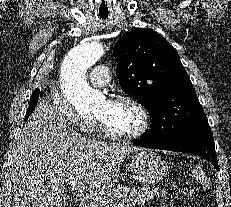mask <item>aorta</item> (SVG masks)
<instances>
[{
    "instance_id": "762f6f07",
    "label": "aorta",
    "mask_w": 231,
    "mask_h": 207,
    "mask_svg": "<svg viewBox=\"0 0 231 207\" xmlns=\"http://www.w3.org/2000/svg\"><path fill=\"white\" fill-rule=\"evenodd\" d=\"M104 54L97 41L83 42L72 48L61 65V86L65 98L81 113L93 112L104 96L86 81V71Z\"/></svg>"
}]
</instances>
